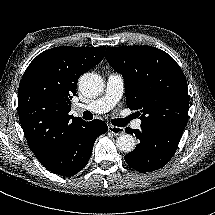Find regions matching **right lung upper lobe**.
<instances>
[{
	"instance_id": "right-lung-upper-lobe-1",
	"label": "right lung upper lobe",
	"mask_w": 215,
	"mask_h": 215,
	"mask_svg": "<svg viewBox=\"0 0 215 215\" xmlns=\"http://www.w3.org/2000/svg\"><path fill=\"white\" fill-rule=\"evenodd\" d=\"M105 55L102 47L60 46L39 54L18 89V113L28 145L45 164L80 117L69 115L80 75ZM72 118V119H71Z\"/></svg>"
}]
</instances>
